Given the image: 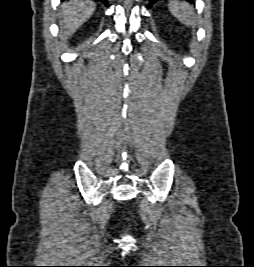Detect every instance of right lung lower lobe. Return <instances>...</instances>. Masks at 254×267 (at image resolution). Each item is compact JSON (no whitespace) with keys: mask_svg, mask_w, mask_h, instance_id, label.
Wrapping results in <instances>:
<instances>
[{"mask_svg":"<svg viewBox=\"0 0 254 267\" xmlns=\"http://www.w3.org/2000/svg\"><path fill=\"white\" fill-rule=\"evenodd\" d=\"M99 1H101L104 4H107V0H99Z\"/></svg>","mask_w":254,"mask_h":267,"instance_id":"right-lung-lower-lobe-1","label":"right lung lower lobe"}]
</instances>
